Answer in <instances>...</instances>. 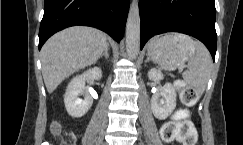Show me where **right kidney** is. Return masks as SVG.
Wrapping results in <instances>:
<instances>
[{"label":"right kidney","mask_w":243,"mask_h":145,"mask_svg":"<svg viewBox=\"0 0 243 145\" xmlns=\"http://www.w3.org/2000/svg\"><path fill=\"white\" fill-rule=\"evenodd\" d=\"M102 77V71L98 67L87 70L82 75L74 77L68 84L64 95V104L69 115L74 118L84 116L92 106L93 99L85 91V80L96 79ZM80 95H84V99H80Z\"/></svg>","instance_id":"right-kidney-1"}]
</instances>
